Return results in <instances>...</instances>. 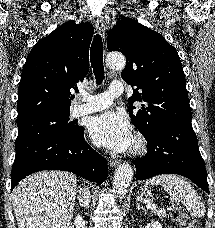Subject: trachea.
Here are the masks:
<instances>
[{"label":"trachea","instance_id":"trachea-1","mask_svg":"<svg viewBox=\"0 0 215 228\" xmlns=\"http://www.w3.org/2000/svg\"><path fill=\"white\" fill-rule=\"evenodd\" d=\"M91 66L95 75L96 84L100 85L104 78V65H103V43L99 34L95 35L90 52Z\"/></svg>","mask_w":215,"mask_h":228}]
</instances>
